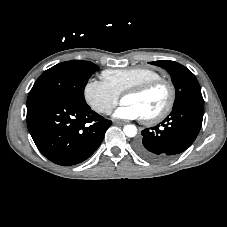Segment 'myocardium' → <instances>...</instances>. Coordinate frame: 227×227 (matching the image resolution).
I'll list each match as a JSON object with an SVG mask.
<instances>
[{
  "label": "myocardium",
  "mask_w": 227,
  "mask_h": 227,
  "mask_svg": "<svg viewBox=\"0 0 227 227\" xmlns=\"http://www.w3.org/2000/svg\"><path fill=\"white\" fill-rule=\"evenodd\" d=\"M160 85H164L167 88L168 100L160 112H158L155 115L149 116V117H143L142 119L145 123H148V124L158 123V122L162 121L163 119H165L169 115V113L172 111L174 104H175V99H176V90H175L173 83L170 80L161 77L158 79L148 81L141 85H138L136 87L130 88L123 93V97L127 96V95L140 96V95L148 93L149 91H151L152 89H154Z\"/></svg>",
  "instance_id": "myocardium-1"
}]
</instances>
